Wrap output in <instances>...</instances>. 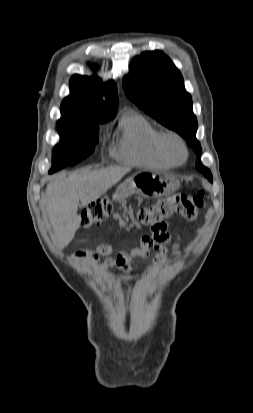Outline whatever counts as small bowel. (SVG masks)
Wrapping results in <instances>:
<instances>
[{
  "label": "small bowel",
  "instance_id": "small-bowel-1",
  "mask_svg": "<svg viewBox=\"0 0 253 413\" xmlns=\"http://www.w3.org/2000/svg\"><path fill=\"white\" fill-rule=\"evenodd\" d=\"M114 219L118 223H122V218L119 214L114 215ZM171 236L167 230V224L161 225L157 229H152V234L143 237L141 246L134 249L131 253H119L116 258H107L103 261L101 266L103 268H109L112 266H119L126 268L132 261L133 257H147L152 249L156 250L154 260L156 262H163L166 259L167 244L170 242ZM111 252V248L108 246H98L96 250H79L74 253L73 258L83 260L88 264L96 263L100 255H106Z\"/></svg>",
  "mask_w": 253,
  "mask_h": 413
}]
</instances>
